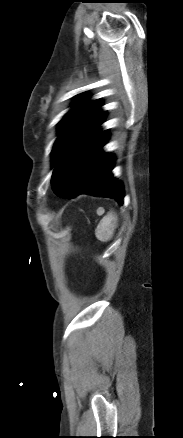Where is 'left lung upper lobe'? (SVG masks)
<instances>
[{"label":"left lung upper lobe","instance_id":"left-lung-upper-lobe-1","mask_svg":"<svg viewBox=\"0 0 183 438\" xmlns=\"http://www.w3.org/2000/svg\"><path fill=\"white\" fill-rule=\"evenodd\" d=\"M81 97L59 122V136L52 150V165L55 167L61 158L86 136L94 132L103 122L106 112L100 111L99 100L86 101Z\"/></svg>","mask_w":183,"mask_h":438}]
</instances>
